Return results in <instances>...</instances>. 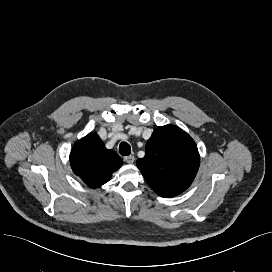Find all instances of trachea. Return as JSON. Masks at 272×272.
<instances>
[{"label":"trachea","instance_id":"1","mask_svg":"<svg viewBox=\"0 0 272 272\" xmlns=\"http://www.w3.org/2000/svg\"><path fill=\"white\" fill-rule=\"evenodd\" d=\"M119 153L123 156H128L131 153V147L127 142H121L119 145Z\"/></svg>","mask_w":272,"mask_h":272}]
</instances>
